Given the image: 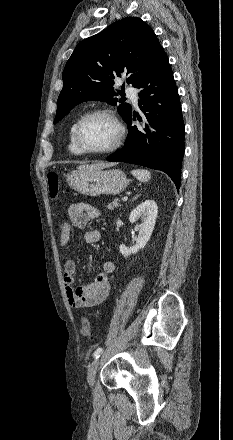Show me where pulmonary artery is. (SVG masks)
I'll use <instances>...</instances> for the list:
<instances>
[{
    "instance_id": "1",
    "label": "pulmonary artery",
    "mask_w": 233,
    "mask_h": 440,
    "mask_svg": "<svg viewBox=\"0 0 233 440\" xmlns=\"http://www.w3.org/2000/svg\"><path fill=\"white\" fill-rule=\"evenodd\" d=\"M127 95L132 99V101L136 104L137 103V97L138 93L137 90L133 87L127 88Z\"/></svg>"
}]
</instances>
